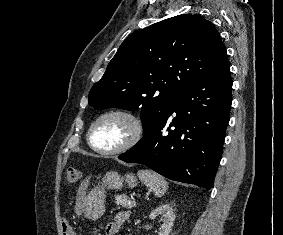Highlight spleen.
I'll list each match as a JSON object with an SVG mask.
<instances>
[{
  "label": "spleen",
  "mask_w": 283,
  "mask_h": 235,
  "mask_svg": "<svg viewBox=\"0 0 283 235\" xmlns=\"http://www.w3.org/2000/svg\"><path fill=\"white\" fill-rule=\"evenodd\" d=\"M137 175L147 187L153 190L157 197L163 196L168 189V182L156 172L151 170H139Z\"/></svg>",
  "instance_id": "3e777b00"
}]
</instances>
